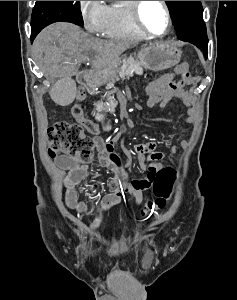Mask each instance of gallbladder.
<instances>
[{"label":"gallbladder","instance_id":"bac80fb5","mask_svg":"<svg viewBox=\"0 0 237 300\" xmlns=\"http://www.w3.org/2000/svg\"><path fill=\"white\" fill-rule=\"evenodd\" d=\"M57 80L58 84H54V90L50 93L52 101L55 105H72L76 92L73 76H58Z\"/></svg>","mask_w":237,"mask_h":300}]
</instances>
